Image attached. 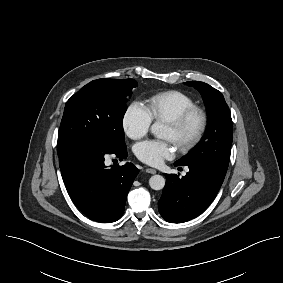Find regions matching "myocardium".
<instances>
[{
  "mask_svg": "<svg viewBox=\"0 0 283 283\" xmlns=\"http://www.w3.org/2000/svg\"><path fill=\"white\" fill-rule=\"evenodd\" d=\"M195 122V128L192 133L185 135L188 126ZM174 132L175 138L172 140L180 150H189L197 145L203 138L207 124V113L199 106L193 105L176 117L165 121Z\"/></svg>",
  "mask_w": 283,
  "mask_h": 283,
  "instance_id": "myocardium-1",
  "label": "myocardium"
}]
</instances>
